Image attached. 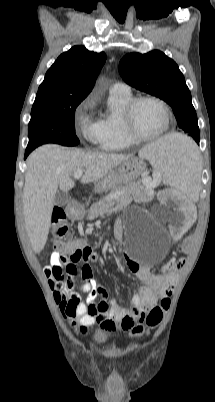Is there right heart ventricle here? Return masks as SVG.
Returning a JSON list of instances; mask_svg holds the SVG:
<instances>
[{
	"instance_id": "right-heart-ventricle-1",
	"label": "right heart ventricle",
	"mask_w": 215,
	"mask_h": 402,
	"mask_svg": "<svg viewBox=\"0 0 215 402\" xmlns=\"http://www.w3.org/2000/svg\"><path fill=\"white\" fill-rule=\"evenodd\" d=\"M132 98L131 92H110L109 111L99 120L101 135L98 144L101 149L117 151L134 144L127 137L122 125V112Z\"/></svg>"
}]
</instances>
